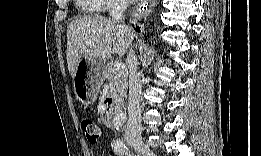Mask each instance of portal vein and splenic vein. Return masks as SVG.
I'll return each instance as SVG.
<instances>
[{
  "label": "portal vein and splenic vein",
  "instance_id": "obj_1",
  "mask_svg": "<svg viewBox=\"0 0 261 156\" xmlns=\"http://www.w3.org/2000/svg\"><path fill=\"white\" fill-rule=\"evenodd\" d=\"M115 69L119 72L125 71L126 70V65L124 63L118 62L115 65Z\"/></svg>",
  "mask_w": 261,
  "mask_h": 156
}]
</instances>
